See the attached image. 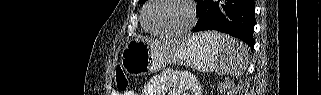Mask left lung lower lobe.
Listing matches in <instances>:
<instances>
[{
	"label": "left lung lower lobe",
	"instance_id": "obj_1",
	"mask_svg": "<svg viewBox=\"0 0 321 95\" xmlns=\"http://www.w3.org/2000/svg\"><path fill=\"white\" fill-rule=\"evenodd\" d=\"M193 32L218 30L237 37L253 50L254 0H197Z\"/></svg>",
	"mask_w": 321,
	"mask_h": 95
}]
</instances>
